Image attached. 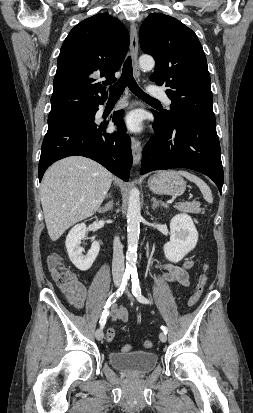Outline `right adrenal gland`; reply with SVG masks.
Listing matches in <instances>:
<instances>
[{"label":"right adrenal gland","instance_id":"2a0ac1e0","mask_svg":"<svg viewBox=\"0 0 253 413\" xmlns=\"http://www.w3.org/2000/svg\"><path fill=\"white\" fill-rule=\"evenodd\" d=\"M112 206H113V201H112V199H111V200L109 201V203L106 204L105 207L100 208V209L98 210V212H99V213H106L107 211H109V210L112 209Z\"/></svg>","mask_w":253,"mask_h":413}]
</instances>
